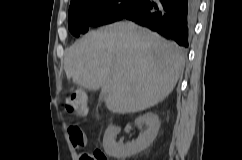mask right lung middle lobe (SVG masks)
Listing matches in <instances>:
<instances>
[{
    "label": "right lung middle lobe",
    "mask_w": 242,
    "mask_h": 160,
    "mask_svg": "<svg viewBox=\"0 0 242 160\" xmlns=\"http://www.w3.org/2000/svg\"><path fill=\"white\" fill-rule=\"evenodd\" d=\"M142 0H83L69 8L68 28L78 37L89 26H99L121 20Z\"/></svg>",
    "instance_id": "right-lung-middle-lobe-1"
}]
</instances>
